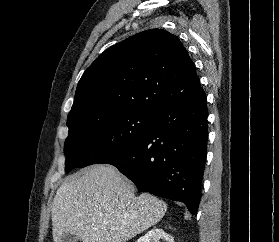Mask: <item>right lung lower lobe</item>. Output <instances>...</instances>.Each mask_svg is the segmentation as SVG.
<instances>
[{
	"mask_svg": "<svg viewBox=\"0 0 279 242\" xmlns=\"http://www.w3.org/2000/svg\"><path fill=\"white\" fill-rule=\"evenodd\" d=\"M208 109L205 92L158 110L148 135L105 158L139 191L182 201L197 215L206 162Z\"/></svg>",
	"mask_w": 279,
	"mask_h": 242,
	"instance_id": "right-lung-lower-lobe-1",
	"label": "right lung lower lobe"
}]
</instances>
